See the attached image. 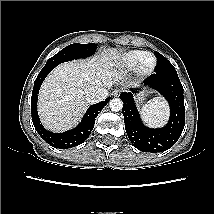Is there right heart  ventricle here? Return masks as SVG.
<instances>
[{
    "label": "right heart ventricle",
    "instance_id": "right-heart-ventricle-1",
    "mask_svg": "<svg viewBox=\"0 0 214 214\" xmlns=\"http://www.w3.org/2000/svg\"><path fill=\"white\" fill-rule=\"evenodd\" d=\"M144 53L140 50L125 52L116 60V65L125 70L133 69Z\"/></svg>",
    "mask_w": 214,
    "mask_h": 214
}]
</instances>
